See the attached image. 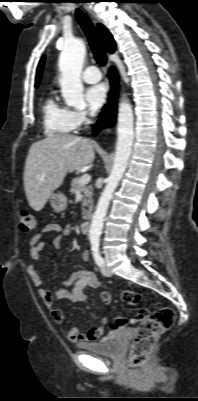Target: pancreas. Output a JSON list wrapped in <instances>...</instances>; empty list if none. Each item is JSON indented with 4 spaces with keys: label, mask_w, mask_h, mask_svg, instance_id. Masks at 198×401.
I'll list each match as a JSON object with an SVG mask.
<instances>
[{
    "label": "pancreas",
    "mask_w": 198,
    "mask_h": 401,
    "mask_svg": "<svg viewBox=\"0 0 198 401\" xmlns=\"http://www.w3.org/2000/svg\"><path fill=\"white\" fill-rule=\"evenodd\" d=\"M79 180H80V178H74L71 181L70 193L76 194L78 191L83 192L82 216H83V219H89L91 216V211H90V209L86 210L85 208L92 204L93 189H92V186H90V185H80Z\"/></svg>",
    "instance_id": "1"
}]
</instances>
